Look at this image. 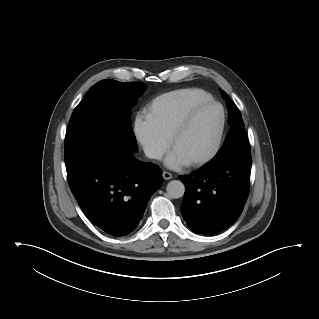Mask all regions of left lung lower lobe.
Masks as SVG:
<instances>
[{"label":"left lung lower lobe","instance_id":"0a47b994","mask_svg":"<svg viewBox=\"0 0 319 319\" xmlns=\"http://www.w3.org/2000/svg\"><path fill=\"white\" fill-rule=\"evenodd\" d=\"M251 163L250 153H231L179 177L186 188L181 212L192 231L214 235L238 219L249 192Z\"/></svg>","mask_w":319,"mask_h":319}]
</instances>
